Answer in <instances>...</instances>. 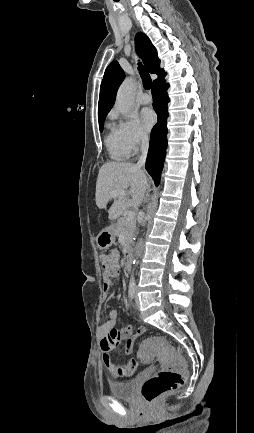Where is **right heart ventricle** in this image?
<instances>
[{
	"label": "right heart ventricle",
	"mask_w": 254,
	"mask_h": 433,
	"mask_svg": "<svg viewBox=\"0 0 254 433\" xmlns=\"http://www.w3.org/2000/svg\"><path fill=\"white\" fill-rule=\"evenodd\" d=\"M108 129L109 131L105 137V145L110 157L118 161L126 159L128 154L122 145L116 126L109 124Z\"/></svg>",
	"instance_id": "right-heart-ventricle-1"
}]
</instances>
